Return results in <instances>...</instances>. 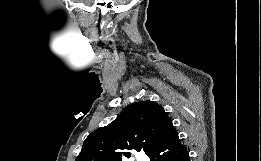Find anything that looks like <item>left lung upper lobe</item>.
Instances as JSON below:
<instances>
[{"label":"left lung upper lobe","mask_w":261,"mask_h":161,"mask_svg":"<svg viewBox=\"0 0 261 161\" xmlns=\"http://www.w3.org/2000/svg\"><path fill=\"white\" fill-rule=\"evenodd\" d=\"M176 131L166 112L150 100L129 105L109 125L96 129L84 141L76 161H122L131 150L150 155Z\"/></svg>","instance_id":"obj_1"}]
</instances>
